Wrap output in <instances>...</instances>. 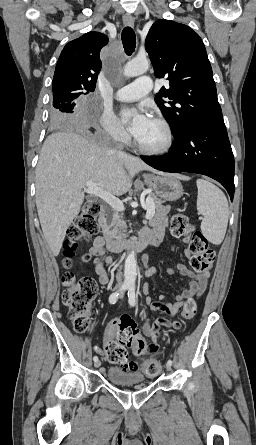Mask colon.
Segmentation results:
<instances>
[{"label": "colon", "instance_id": "1", "mask_svg": "<svg viewBox=\"0 0 256 445\" xmlns=\"http://www.w3.org/2000/svg\"><path fill=\"white\" fill-rule=\"evenodd\" d=\"M100 205L89 203L75 219L69 229L68 238L63 246L65 266L70 265V259L79 244L98 233V218ZM171 233L176 237H190L189 251L192 255L191 265L198 272H208L213 267L215 252L209 247L204 235L196 230L190 219L182 213L174 214L170 221ZM64 291L62 302L68 309V316L73 327L78 332L85 331L89 326V305L97 293V285L93 278L84 276L76 278L72 272L62 276ZM196 314V303L190 299L184 306L182 317L192 319ZM117 340L105 346V354L110 362L122 364L127 360L126 347L132 348L137 355L146 352V341L141 336L135 320L129 315L118 319ZM161 365L156 360L144 363L143 371L153 377L160 372Z\"/></svg>", "mask_w": 256, "mask_h": 445}]
</instances>
